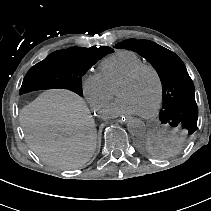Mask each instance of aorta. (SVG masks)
Listing matches in <instances>:
<instances>
[{"label": "aorta", "mask_w": 211, "mask_h": 211, "mask_svg": "<svg viewBox=\"0 0 211 211\" xmlns=\"http://www.w3.org/2000/svg\"><path fill=\"white\" fill-rule=\"evenodd\" d=\"M127 129L133 136H142L146 131L144 122L138 118L130 119L127 122Z\"/></svg>", "instance_id": "1"}]
</instances>
